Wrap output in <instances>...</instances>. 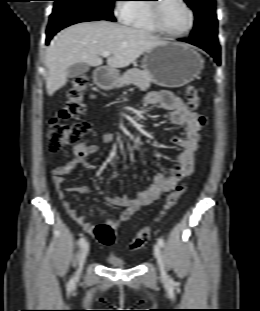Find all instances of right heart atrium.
<instances>
[{
    "mask_svg": "<svg viewBox=\"0 0 260 311\" xmlns=\"http://www.w3.org/2000/svg\"><path fill=\"white\" fill-rule=\"evenodd\" d=\"M129 11V7L123 0H118L115 6V14L117 17L124 21L127 12Z\"/></svg>",
    "mask_w": 260,
    "mask_h": 311,
    "instance_id": "1",
    "label": "right heart atrium"
}]
</instances>
